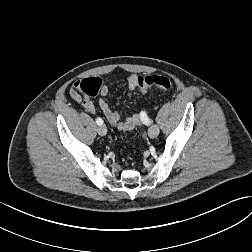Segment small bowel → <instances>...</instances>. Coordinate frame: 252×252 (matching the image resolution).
Wrapping results in <instances>:
<instances>
[{"label": "small bowel", "mask_w": 252, "mask_h": 252, "mask_svg": "<svg viewBox=\"0 0 252 252\" xmlns=\"http://www.w3.org/2000/svg\"><path fill=\"white\" fill-rule=\"evenodd\" d=\"M137 75H129L127 76L124 81L128 84L129 89L134 91L138 88L137 86ZM109 87L108 85L104 84L101 89V97L99 99V106L107 120V122L116 130L121 132H131L137 126L141 124L140 122V115L139 113H133L128 116L126 119L122 120L120 115L111 109L108 102L106 101V96L108 95ZM70 97L76 101L77 103L81 104L82 107L88 113L95 112V106L93 102L87 98L86 96L82 95V91L80 89V81H76L73 86L69 89Z\"/></svg>", "instance_id": "small-bowel-1"}]
</instances>
